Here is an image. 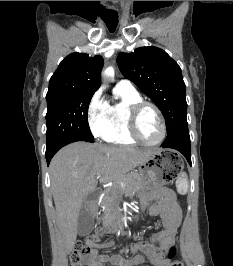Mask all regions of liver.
Returning a JSON list of instances; mask_svg holds the SVG:
<instances>
[{"instance_id": "obj_1", "label": "liver", "mask_w": 233, "mask_h": 266, "mask_svg": "<svg viewBox=\"0 0 233 266\" xmlns=\"http://www.w3.org/2000/svg\"><path fill=\"white\" fill-rule=\"evenodd\" d=\"M150 150L75 142L62 148L51 160L50 179L57 223L65 253H70L77 237L79 212L86 197L101 181L118 182L133 168L148 161Z\"/></svg>"}]
</instances>
